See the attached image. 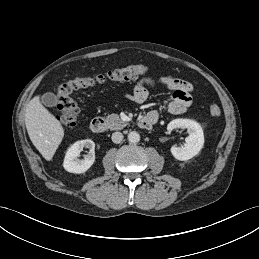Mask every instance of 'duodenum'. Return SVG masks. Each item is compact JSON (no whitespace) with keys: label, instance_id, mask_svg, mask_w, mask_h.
I'll return each mask as SVG.
<instances>
[{"label":"duodenum","instance_id":"410a0bca","mask_svg":"<svg viewBox=\"0 0 259 259\" xmlns=\"http://www.w3.org/2000/svg\"><path fill=\"white\" fill-rule=\"evenodd\" d=\"M157 118L153 116H143L138 120V125L141 128H148L156 122ZM90 128L94 133H101L106 129V122L101 117L92 119Z\"/></svg>","mask_w":259,"mask_h":259}]
</instances>
